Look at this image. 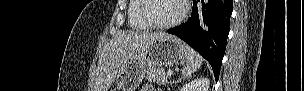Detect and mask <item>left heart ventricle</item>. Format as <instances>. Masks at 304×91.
<instances>
[{"mask_svg":"<svg viewBox=\"0 0 304 91\" xmlns=\"http://www.w3.org/2000/svg\"><path fill=\"white\" fill-rule=\"evenodd\" d=\"M182 6L179 0H150L147 14L156 24H165L179 16Z\"/></svg>","mask_w":304,"mask_h":91,"instance_id":"left-heart-ventricle-1","label":"left heart ventricle"}]
</instances>
